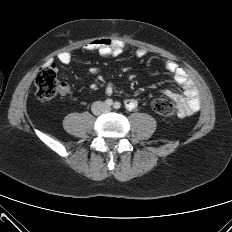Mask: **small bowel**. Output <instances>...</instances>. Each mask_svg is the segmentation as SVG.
Here are the masks:
<instances>
[{
    "label": "small bowel",
    "mask_w": 232,
    "mask_h": 232,
    "mask_svg": "<svg viewBox=\"0 0 232 232\" xmlns=\"http://www.w3.org/2000/svg\"><path fill=\"white\" fill-rule=\"evenodd\" d=\"M126 49L127 46L124 42L108 37L95 39L83 46V50L88 52H98L103 56L119 55ZM135 54L139 58H145L148 55V51L139 48L136 50ZM57 59L61 65H68L72 61V53L63 51L58 54ZM165 68L173 76L174 82L182 88L183 93H178L172 90H164L162 93L176 102L180 116H187L197 112L200 108V98L193 79L185 69L172 60L165 61ZM90 71L92 73H98L99 69L97 67H92ZM105 92L107 94L113 92V87L110 83L106 84ZM62 93H67L66 87L62 89ZM124 104L128 110H133L137 107L138 102L134 98H127Z\"/></svg>",
    "instance_id": "small-bowel-1"
}]
</instances>
